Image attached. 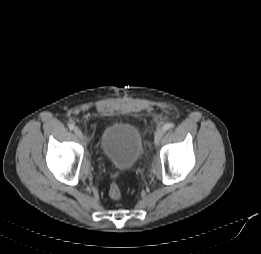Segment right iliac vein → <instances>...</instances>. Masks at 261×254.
I'll use <instances>...</instances> for the list:
<instances>
[{
	"label": "right iliac vein",
	"mask_w": 261,
	"mask_h": 254,
	"mask_svg": "<svg viewBox=\"0 0 261 254\" xmlns=\"http://www.w3.org/2000/svg\"><path fill=\"white\" fill-rule=\"evenodd\" d=\"M74 133L78 138L83 139L82 131L78 127L74 129Z\"/></svg>",
	"instance_id": "63e3f726"
}]
</instances>
